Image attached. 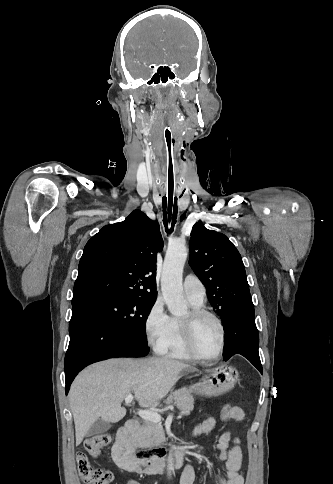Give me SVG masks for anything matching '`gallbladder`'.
Segmentation results:
<instances>
[{
  "label": "gallbladder",
  "mask_w": 333,
  "mask_h": 484,
  "mask_svg": "<svg viewBox=\"0 0 333 484\" xmlns=\"http://www.w3.org/2000/svg\"><path fill=\"white\" fill-rule=\"evenodd\" d=\"M111 427L110 422L104 421L102 419L96 420L91 428L89 429L87 435L88 436H94V435H100L105 432H107Z\"/></svg>",
  "instance_id": "1"
}]
</instances>
